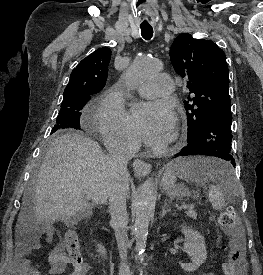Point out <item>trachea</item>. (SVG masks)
<instances>
[{
	"instance_id": "trachea-1",
	"label": "trachea",
	"mask_w": 263,
	"mask_h": 275,
	"mask_svg": "<svg viewBox=\"0 0 263 275\" xmlns=\"http://www.w3.org/2000/svg\"><path fill=\"white\" fill-rule=\"evenodd\" d=\"M141 35L145 40H150L153 36V28L149 27H141Z\"/></svg>"
}]
</instances>
